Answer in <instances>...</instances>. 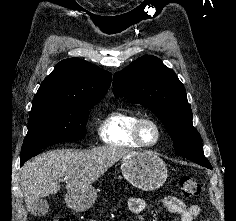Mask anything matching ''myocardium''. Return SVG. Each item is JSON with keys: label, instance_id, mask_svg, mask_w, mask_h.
I'll list each match as a JSON object with an SVG mask.
<instances>
[{"label": "myocardium", "instance_id": "obj_1", "mask_svg": "<svg viewBox=\"0 0 236 221\" xmlns=\"http://www.w3.org/2000/svg\"><path fill=\"white\" fill-rule=\"evenodd\" d=\"M145 124H150L154 127L156 131V138L153 142H146L142 137V128ZM134 140L141 146L145 148H150L156 146L162 137V128L160 124L151 117H140L134 124L132 132Z\"/></svg>", "mask_w": 236, "mask_h": 221}]
</instances>
